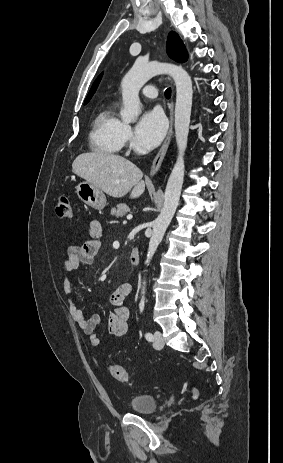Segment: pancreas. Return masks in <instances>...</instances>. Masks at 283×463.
<instances>
[{
    "label": "pancreas",
    "instance_id": "pancreas-1",
    "mask_svg": "<svg viewBox=\"0 0 283 463\" xmlns=\"http://www.w3.org/2000/svg\"><path fill=\"white\" fill-rule=\"evenodd\" d=\"M130 212V208L126 204H118L116 208L111 209V214L116 217H123Z\"/></svg>",
    "mask_w": 283,
    "mask_h": 463
}]
</instances>
